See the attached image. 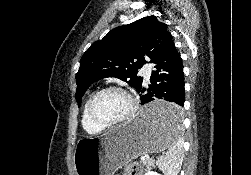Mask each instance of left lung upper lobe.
<instances>
[{
  "mask_svg": "<svg viewBox=\"0 0 251 175\" xmlns=\"http://www.w3.org/2000/svg\"><path fill=\"white\" fill-rule=\"evenodd\" d=\"M169 35L167 25L152 15L114 28L102 40L94 42L82 56L76 74L79 107L89 86L105 77L129 79L131 86L140 89L143 78L136 75L138 69L147 59L152 62Z\"/></svg>",
  "mask_w": 251,
  "mask_h": 175,
  "instance_id": "5c2ea615",
  "label": "left lung upper lobe"
}]
</instances>
